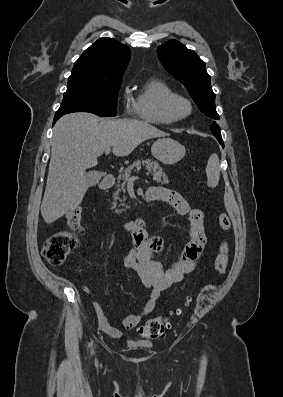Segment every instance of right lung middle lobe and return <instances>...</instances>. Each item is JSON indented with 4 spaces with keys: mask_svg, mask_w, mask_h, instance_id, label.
I'll return each mask as SVG.
<instances>
[{
    "mask_svg": "<svg viewBox=\"0 0 283 397\" xmlns=\"http://www.w3.org/2000/svg\"><path fill=\"white\" fill-rule=\"evenodd\" d=\"M121 83L122 79L106 80L71 74L56 115L90 112L102 117L116 116Z\"/></svg>",
    "mask_w": 283,
    "mask_h": 397,
    "instance_id": "1",
    "label": "right lung middle lobe"
}]
</instances>
